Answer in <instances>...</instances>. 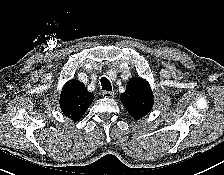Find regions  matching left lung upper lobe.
<instances>
[{
	"mask_svg": "<svg viewBox=\"0 0 224 175\" xmlns=\"http://www.w3.org/2000/svg\"><path fill=\"white\" fill-rule=\"evenodd\" d=\"M121 102L128 113L140 119L153 107V93L149 83L140 77L128 81L125 93L121 94Z\"/></svg>",
	"mask_w": 224,
	"mask_h": 175,
	"instance_id": "obj_1",
	"label": "left lung upper lobe"
}]
</instances>
